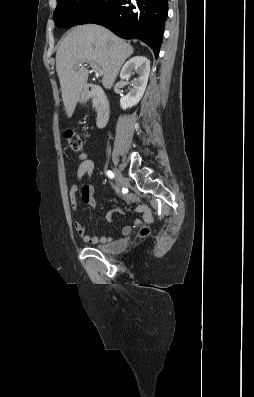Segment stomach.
<instances>
[{
	"label": "stomach",
	"mask_w": 254,
	"mask_h": 397,
	"mask_svg": "<svg viewBox=\"0 0 254 397\" xmlns=\"http://www.w3.org/2000/svg\"><path fill=\"white\" fill-rule=\"evenodd\" d=\"M86 100V95L84 92H82L79 96V102H84Z\"/></svg>",
	"instance_id": "stomach-1"
}]
</instances>
